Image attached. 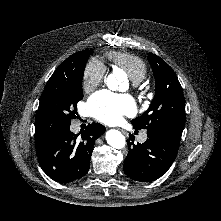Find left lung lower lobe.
Instances as JSON below:
<instances>
[{
	"label": "left lung lower lobe",
	"mask_w": 221,
	"mask_h": 221,
	"mask_svg": "<svg viewBox=\"0 0 221 221\" xmlns=\"http://www.w3.org/2000/svg\"><path fill=\"white\" fill-rule=\"evenodd\" d=\"M183 129L158 127L147 132L145 143L134 145L133 135L127 144L129 153L124 162V172L132 179L150 182L160 178L172 165L180 144Z\"/></svg>",
	"instance_id": "0a47b994"
}]
</instances>
